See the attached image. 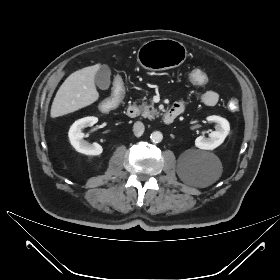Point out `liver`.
<instances>
[{
    "label": "liver",
    "instance_id": "obj_1",
    "mask_svg": "<svg viewBox=\"0 0 280 280\" xmlns=\"http://www.w3.org/2000/svg\"><path fill=\"white\" fill-rule=\"evenodd\" d=\"M100 66L85 67L66 78L53 100L50 111L52 118L75 112L98 100L94 78Z\"/></svg>",
    "mask_w": 280,
    "mask_h": 280
}]
</instances>
